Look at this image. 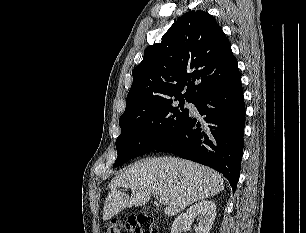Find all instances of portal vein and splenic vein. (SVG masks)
I'll use <instances>...</instances> for the list:
<instances>
[{
    "mask_svg": "<svg viewBox=\"0 0 306 233\" xmlns=\"http://www.w3.org/2000/svg\"><path fill=\"white\" fill-rule=\"evenodd\" d=\"M159 202H160L161 204H167V203H168V199L165 198V197H160V198H159Z\"/></svg>",
    "mask_w": 306,
    "mask_h": 233,
    "instance_id": "18ae733b",
    "label": "portal vein and splenic vein"
}]
</instances>
